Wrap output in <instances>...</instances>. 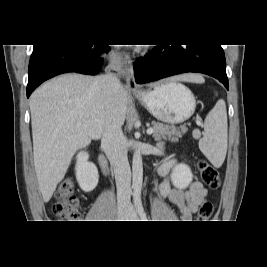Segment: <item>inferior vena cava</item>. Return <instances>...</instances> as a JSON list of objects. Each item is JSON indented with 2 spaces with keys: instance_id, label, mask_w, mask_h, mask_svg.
Returning a JSON list of instances; mask_svg holds the SVG:
<instances>
[{
  "instance_id": "1",
  "label": "inferior vena cava",
  "mask_w": 267,
  "mask_h": 267,
  "mask_svg": "<svg viewBox=\"0 0 267 267\" xmlns=\"http://www.w3.org/2000/svg\"><path fill=\"white\" fill-rule=\"evenodd\" d=\"M100 80L103 87L109 93L114 95L118 93L121 87L120 81L110 73L109 69L105 75L100 77ZM121 126V119L117 109L114 107L113 103H111L107 111L101 147L114 169L119 211L129 208L131 198V170Z\"/></svg>"
}]
</instances>
